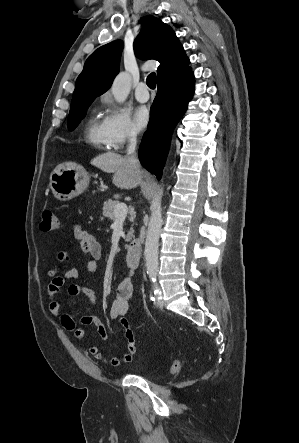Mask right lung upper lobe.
Returning <instances> with one entry per match:
<instances>
[{
	"label": "right lung upper lobe",
	"mask_w": 299,
	"mask_h": 443,
	"mask_svg": "<svg viewBox=\"0 0 299 443\" xmlns=\"http://www.w3.org/2000/svg\"><path fill=\"white\" fill-rule=\"evenodd\" d=\"M122 49V41L117 40L99 47L88 57L77 78L71 108L93 101L110 88L119 72ZM134 50L141 59L159 61L158 80L179 77L191 69L190 61L174 31L153 16L143 20V27L134 42Z\"/></svg>",
	"instance_id": "right-lung-upper-lobe-1"
}]
</instances>
